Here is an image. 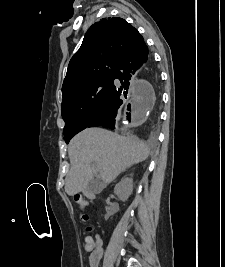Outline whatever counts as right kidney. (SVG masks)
Wrapping results in <instances>:
<instances>
[{
    "mask_svg": "<svg viewBox=\"0 0 225 267\" xmlns=\"http://www.w3.org/2000/svg\"><path fill=\"white\" fill-rule=\"evenodd\" d=\"M133 191V179L131 177L123 178L114 187V192L121 201H126Z\"/></svg>",
    "mask_w": 225,
    "mask_h": 267,
    "instance_id": "ca27d5eb",
    "label": "right kidney"
}]
</instances>
